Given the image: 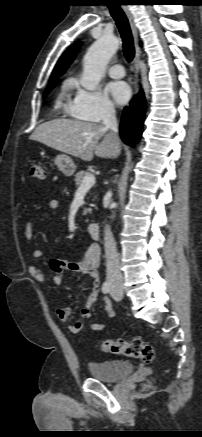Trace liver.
I'll return each instance as SVG.
<instances>
[{
    "instance_id": "1",
    "label": "liver",
    "mask_w": 202,
    "mask_h": 437,
    "mask_svg": "<svg viewBox=\"0 0 202 437\" xmlns=\"http://www.w3.org/2000/svg\"><path fill=\"white\" fill-rule=\"evenodd\" d=\"M107 131L104 125L98 123L54 119L40 124L30 140L84 161H91L94 154L101 158H115L120 152V143Z\"/></svg>"
}]
</instances>
